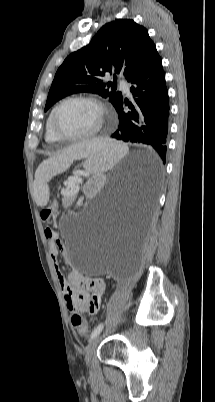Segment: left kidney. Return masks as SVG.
Instances as JSON below:
<instances>
[{"instance_id":"left-kidney-1","label":"left kidney","mask_w":215,"mask_h":402,"mask_svg":"<svg viewBox=\"0 0 215 402\" xmlns=\"http://www.w3.org/2000/svg\"><path fill=\"white\" fill-rule=\"evenodd\" d=\"M106 175L104 169H97L94 178H89L87 184L84 186L86 193H97L98 187L103 186V179Z\"/></svg>"}]
</instances>
